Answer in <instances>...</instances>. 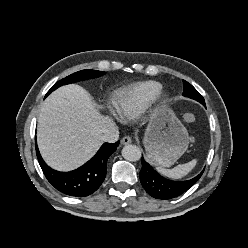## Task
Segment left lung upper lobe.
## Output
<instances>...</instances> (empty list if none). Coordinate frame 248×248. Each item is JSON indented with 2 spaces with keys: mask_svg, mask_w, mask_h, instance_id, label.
Segmentation results:
<instances>
[{
  "mask_svg": "<svg viewBox=\"0 0 248 248\" xmlns=\"http://www.w3.org/2000/svg\"><path fill=\"white\" fill-rule=\"evenodd\" d=\"M183 84H184L183 95L185 97L195 99L199 101L200 103H202L203 105H205L204 98L191 84H189L185 80H183Z\"/></svg>",
  "mask_w": 248,
  "mask_h": 248,
  "instance_id": "obj_1",
  "label": "left lung upper lobe"
}]
</instances>
